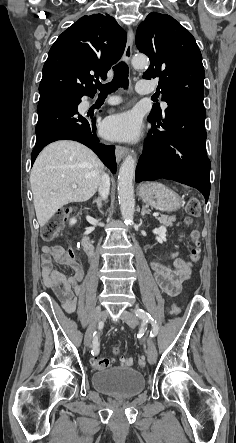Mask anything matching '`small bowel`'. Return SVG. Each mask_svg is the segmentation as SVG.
I'll return each mask as SVG.
<instances>
[{
  "label": "small bowel",
  "instance_id": "c3829d8e",
  "mask_svg": "<svg viewBox=\"0 0 236 443\" xmlns=\"http://www.w3.org/2000/svg\"><path fill=\"white\" fill-rule=\"evenodd\" d=\"M162 256L171 261L174 268L171 269L158 262H152L151 267L154 271L155 282L165 293L176 295L181 289V284L190 278L192 265L178 258L177 252L174 251L165 252ZM53 261L71 268L73 275L67 277L62 272L53 269ZM41 264L45 287L55 294L65 311H74L81 293L80 285L84 271L72 250H65L60 246H45Z\"/></svg>",
  "mask_w": 236,
  "mask_h": 443
}]
</instances>
